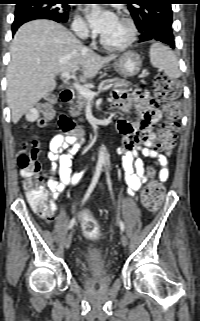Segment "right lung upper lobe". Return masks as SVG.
<instances>
[{"label":"right lung upper lobe","instance_id":"cb5924a9","mask_svg":"<svg viewBox=\"0 0 200 321\" xmlns=\"http://www.w3.org/2000/svg\"><path fill=\"white\" fill-rule=\"evenodd\" d=\"M18 1H23V0H18ZM69 1H72V0H69Z\"/></svg>","mask_w":200,"mask_h":321}]
</instances>
